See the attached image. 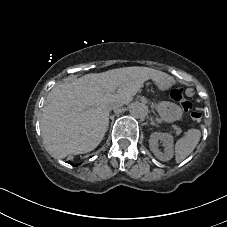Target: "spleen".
Masks as SVG:
<instances>
[{"label":"spleen","instance_id":"spleen-1","mask_svg":"<svg viewBox=\"0 0 227 227\" xmlns=\"http://www.w3.org/2000/svg\"><path fill=\"white\" fill-rule=\"evenodd\" d=\"M201 138L199 129H189L185 136L178 139L174 145L175 162L185 160L196 148Z\"/></svg>","mask_w":227,"mask_h":227}]
</instances>
